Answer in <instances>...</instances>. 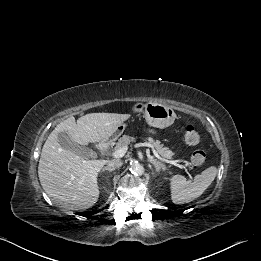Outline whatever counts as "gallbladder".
Listing matches in <instances>:
<instances>
[{
	"instance_id": "1",
	"label": "gallbladder",
	"mask_w": 261,
	"mask_h": 261,
	"mask_svg": "<svg viewBox=\"0 0 261 261\" xmlns=\"http://www.w3.org/2000/svg\"><path fill=\"white\" fill-rule=\"evenodd\" d=\"M58 142L63 149L71 150L82 158H88L93 154L90 148L76 144L66 132L58 133Z\"/></svg>"
}]
</instances>
